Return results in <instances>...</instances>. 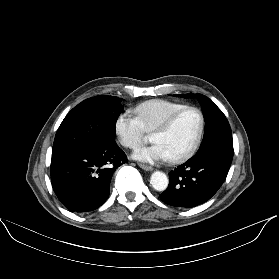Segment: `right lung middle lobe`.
Instances as JSON below:
<instances>
[{
    "label": "right lung middle lobe",
    "mask_w": 279,
    "mask_h": 279,
    "mask_svg": "<svg viewBox=\"0 0 279 279\" xmlns=\"http://www.w3.org/2000/svg\"><path fill=\"white\" fill-rule=\"evenodd\" d=\"M122 112L120 99L95 96L75 106L59 126L52 152L78 150L114 140L116 121Z\"/></svg>",
    "instance_id": "1"
}]
</instances>
